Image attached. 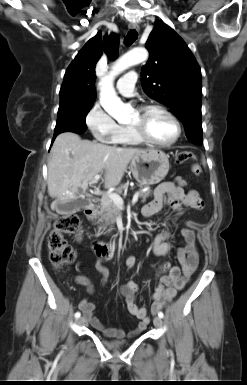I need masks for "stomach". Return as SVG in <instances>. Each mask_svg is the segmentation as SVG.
I'll return each mask as SVG.
<instances>
[{
    "label": "stomach",
    "mask_w": 247,
    "mask_h": 385,
    "mask_svg": "<svg viewBox=\"0 0 247 385\" xmlns=\"http://www.w3.org/2000/svg\"><path fill=\"white\" fill-rule=\"evenodd\" d=\"M130 170L141 186L157 184L169 171L168 156L157 149L142 150L131 159Z\"/></svg>",
    "instance_id": "0dacf381"
}]
</instances>
